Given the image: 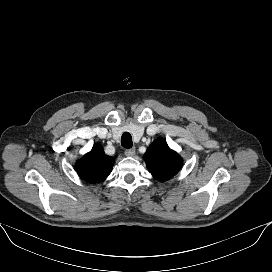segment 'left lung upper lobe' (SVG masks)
Here are the masks:
<instances>
[{"label": "left lung upper lobe", "instance_id": "5c2ea615", "mask_svg": "<svg viewBox=\"0 0 272 272\" xmlns=\"http://www.w3.org/2000/svg\"><path fill=\"white\" fill-rule=\"evenodd\" d=\"M151 174L158 180H168L181 169L183 160L161 139L154 141L144 155Z\"/></svg>", "mask_w": 272, "mask_h": 272}]
</instances>
